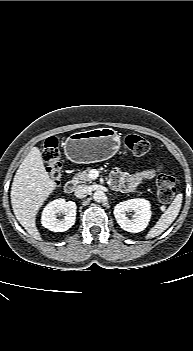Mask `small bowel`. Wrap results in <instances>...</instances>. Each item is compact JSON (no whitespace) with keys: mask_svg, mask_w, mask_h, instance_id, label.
<instances>
[{"mask_svg":"<svg viewBox=\"0 0 193 351\" xmlns=\"http://www.w3.org/2000/svg\"><path fill=\"white\" fill-rule=\"evenodd\" d=\"M153 177V170H144L134 175L115 170L111 173L110 180L112 185L118 189L135 190L142 181L152 179Z\"/></svg>","mask_w":193,"mask_h":351,"instance_id":"c3829d8e","label":"small bowel"}]
</instances>
